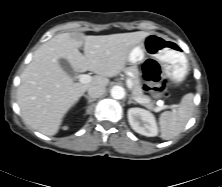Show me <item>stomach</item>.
<instances>
[{
	"label": "stomach",
	"mask_w": 222,
	"mask_h": 187,
	"mask_svg": "<svg viewBox=\"0 0 222 187\" xmlns=\"http://www.w3.org/2000/svg\"><path fill=\"white\" fill-rule=\"evenodd\" d=\"M145 55L156 58L167 77L176 83L182 82L189 72L186 55L180 45L165 35L150 33L145 40L129 53L128 62L139 64Z\"/></svg>",
	"instance_id": "1"
}]
</instances>
